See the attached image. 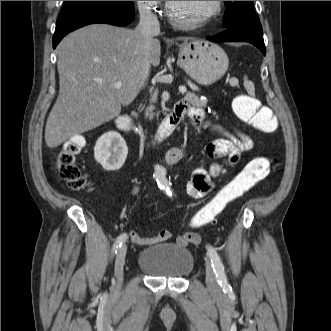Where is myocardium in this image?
Wrapping results in <instances>:
<instances>
[{"label":"myocardium","mask_w":331,"mask_h":331,"mask_svg":"<svg viewBox=\"0 0 331 331\" xmlns=\"http://www.w3.org/2000/svg\"><path fill=\"white\" fill-rule=\"evenodd\" d=\"M221 12H222V1H214L213 9L209 13H207L204 16L198 18L197 20H194V21H191V22H184V21L178 20L173 15L171 1H167V3H166V10H165V13H166L169 21L173 25H175L177 27H182V28L199 27V26H201L203 24H206V23L212 21L216 17H218Z\"/></svg>","instance_id":"obj_1"}]
</instances>
